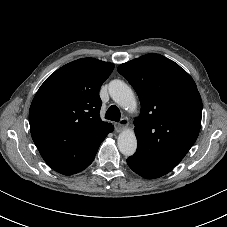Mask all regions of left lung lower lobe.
<instances>
[{
	"label": "left lung lower lobe",
	"instance_id": "obj_1",
	"mask_svg": "<svg viewBox=\"0 0 227 227\" xmlns=\"http://www.w3.org/2000/svg\"><path fill=\"white\" fill-rule=\"evenodd\" d=\"M129 167L140 176L155 179L169 173L173 168L152 163L140 156L134 155L127 159Z\"/></svg>",
	"mask_w": 227,
	"mask_h": 227
}]
</instances>
